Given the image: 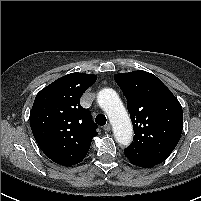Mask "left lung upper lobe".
Returning <instances> with one entry per match:
<instances>
[{"mask_svg":"<svg viewBox=\"0 0 201 201\" xmlns=\"http://www.w3.org/2000/svg\"><path fill=\"white\" fill-rule=\"evenodd\" d=\"M127 98L134 126L132 144L124 150L140 167L163 162L176 147L183 129V111L177 98L155 75L139 70L114 75Z\"/></svg>","mask_w":201,"mask_h":201,"instance_id":"obj_1","label":"left lung upper lobe"}]
</instances>
